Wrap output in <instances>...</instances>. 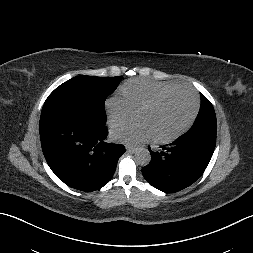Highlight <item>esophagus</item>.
<instances>
[{
	"mask_svg": "<svg viewBox=\"0 0 253 253\" xmlns=\"http://www.w3.org/2000/svg\"><path fill=\"white\" fill-rule=\"evenodd\" d=\"M126 151L128 153H134L136 151L135 147H131V146H126Z\"/></svg>",
	"mask_w": 253,
	"mask_h": 253,
	"instance_id": "esophagus-1",
	"label": "esophagus"
}]
</instances>
